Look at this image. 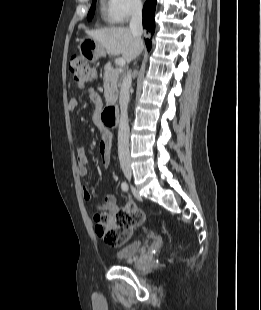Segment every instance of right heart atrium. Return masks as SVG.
Here are the masks:
<instances>
[{
    "instance_id": "obj_1",
    "label": "right heart atrium",
    "mask_w": 261,
    "mask_h": 310,
    "mask_svg": "<svg viewBox=\"0 0 261 310\" xmlns=\"http://www.w3.org/2000/svg\"><path fill=\"white\" fill-rule=\"evenodd\" d=\"M142 0H111L112 17L115 23L124 24L142 12Z\"/></svg>"
}]
</instances>
